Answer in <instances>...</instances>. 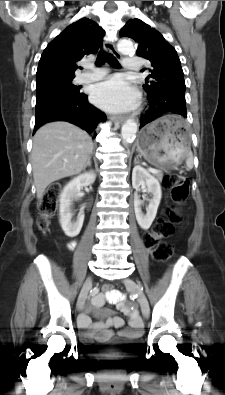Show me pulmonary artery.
I'll use <instances>...</instances> for the list:
<instances>
[{"mask_svg": "<svg viewBox=\"0 0 225 395\" xmlns=\"http://www.w3.org/2000/svg\"><path fill=\"white\" fill-rule=\"evenodd\" d=\"M123 66L127 70H138L140 67V60L138 57H126L123 60ZM106 71L103 69H95L92 72H87L78 77L80 83H90L101 80L105 77Z\"/></svg>", "mask_w": 225, "mask_h": 395, "instance_id": "pulmonary-artery-1", "label": "pulmonary artery"}]
</instances>
